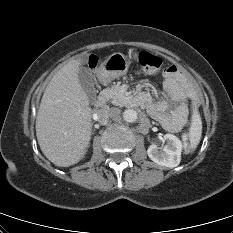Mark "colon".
I'll return each instance as SVG.
<instances>
[{
    "label": "colon",
    "mask_w": 233,
    "mask_h": 233,
    "mask_svg": "<svg viewBox=\"0 0 233 233\" xmlns=\"http://www.w3.org/2000/svg\"><path fill=\"white\" fill-rule=\"evenodd\" d=\"M139 62L143 68V70L148 74H156L158 73L162 66V59L150 52L142 51L138 54ZM182 140L186 147H189L188 136L184 135Z\"/></svg>",
    "instance_id": "obj_1"
}]
</instances>
